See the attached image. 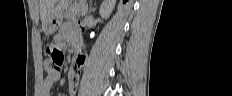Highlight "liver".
<instances>
[{
    "label": "liver",
    "mask_w": 232,
    "mask_h": 96,
    "mask_svg": "<svg viewBox=\"0 0 232 96\" xmlns=\"http://www.w3.org/2000/svg\"><path fill=\"white\" fill-rule=\"evenodd\" d=\"M57 0H40V18L42 21V27L44 25V22L51 13L52 9L54 8Z\"/></svg>",
    "instance_id": "1"
}]
</instances>
